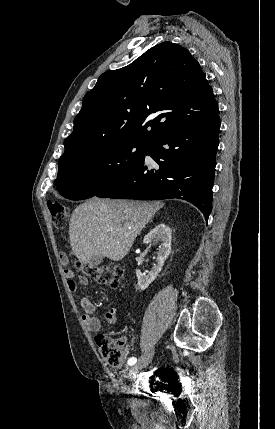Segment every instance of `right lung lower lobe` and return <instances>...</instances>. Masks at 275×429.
<instances>
[{"label":"right lung lower lobe","mask_w":275,"mask_h":429,"mask_svg":"<svg viewBox=\"0 0 275 429\" xmlns=\"http://www.w3.org/2000/svg\"><path fill=\"white\" fill-rule=\"evenodd\" d=\"M220 120L213 117L185 124L153 138L145 155L157 163L150 167L145 156L97 197L161 200L177 198L194 204L208 220Z\"/></svg>","instance_id":"98d812e1"}]
</instances>
